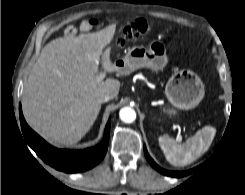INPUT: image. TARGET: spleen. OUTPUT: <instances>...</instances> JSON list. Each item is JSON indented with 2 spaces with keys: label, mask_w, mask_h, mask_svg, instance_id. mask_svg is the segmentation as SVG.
<instances>
[{
  "label": "spleen",
  "mask_w": 245,
  "mask_h": 195,
  "mask_svg": "<svg viewBox=\"0 0 245 195\" xmlns=\"http://www.w3.org/2000/svg\"><path fill=\"white\" fill-rule=\"evenodd\" d=\"M214 135L215 129L207 126L189 138L183 145L167 136H160L158 141L169 163L174 166H185L194 162L209 148Z\"/></svg>",
  "instance_id": "spleen-1"
}]
</instances>
